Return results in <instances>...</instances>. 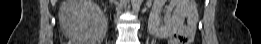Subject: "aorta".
Wrapping results in <instances>:
<instances>
[{
  "label": "aorta",
  "instance_id": "obj_1",
  "mask_svg": "<svg viewBox=\"0 0 261 44\" xmlns=\"http://www.w3.org/2000/svg\"><path fill=\"white\" fill-rule=\"evenodd\" d=\"M131 2L133 11L137 13L140 10L142 0H131Z\"/></svg>",
  "mask_w": 261,
  "mask_h": 44
}]
</instances>
